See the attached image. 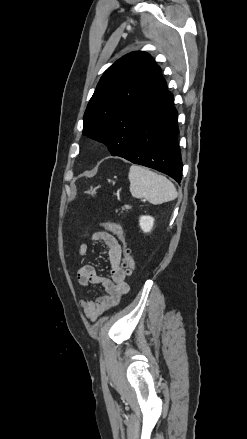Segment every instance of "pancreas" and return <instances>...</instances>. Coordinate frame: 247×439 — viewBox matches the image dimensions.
<instances>
[{
	"label": "pancreas",
	"instance_id": "1",
	"mask_svg": "<svg viewBox=\"0 0 247 439\" xmlns=\"http://www.w3.org/2000/svg\"><path fill=\"white\" fill-rule=\"evenodd\" d=\"M129 209H131V206H129V205H125L124 207H122V210H129Z\"/></svg>",
	"mask_w": 247,
	"mask_h": 439
}]
</instances>
